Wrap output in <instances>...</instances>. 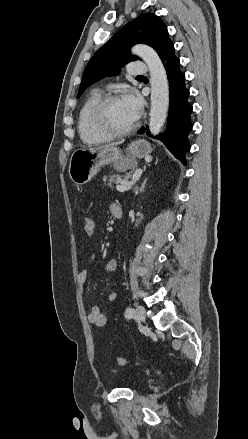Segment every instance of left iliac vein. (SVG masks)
<instances>
[{"mask_svg":"<svg viewBox=\"0 0 248 439\" xmlns=\"http://www.w3.org/2000/svg\"><path fill=\"white\" fill-rule=\"evenodd\" d=\"M134 318L138 321V322H144L146 319V311L142 306H137L135 314H134Z\"/></svg>","mask_w":248,"mask_h":439,"instance_id":"obj_1","label":"left iliac vein"}]
</instances>
